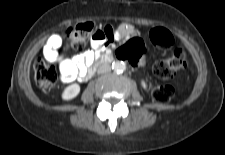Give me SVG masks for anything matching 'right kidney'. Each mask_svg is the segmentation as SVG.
<instances>
[{
    "label": "right kidney",
    "mask_w": 225,
    "mask_h": 155,
    "mask_svg": "<svg viewBox=\"0 0 225 155\" xmlns=\"http://www.w3.org/2000/svg\"><path fill=\"white\" fill-rule=\"evenodd\" d=\"M80 92V86L78 84H72L66 87L62 93L63 100H71L75 98Z\"/></svg>",
    "instance_id": "1"
}]
</instances>
